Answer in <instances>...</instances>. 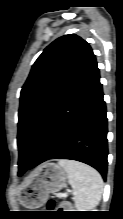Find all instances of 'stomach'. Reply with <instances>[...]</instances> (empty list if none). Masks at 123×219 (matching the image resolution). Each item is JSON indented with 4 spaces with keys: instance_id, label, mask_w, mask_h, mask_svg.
<instances>
[{
    "instance_id": "1",
    "label": "stomach",
    "mask_w": 123,
    "mask_h": 219,
    "mask_svg": "<svg viewBox=\"0 0 123 219\" xmlns=\"http://www.w3.org/2000/svg\"><path fill=\"white\" fill-rule=\"evenodd\" d=\"M66 179L67 173L59 164L46 162L40 165L21 190V204L27 208L42 206L50 193H56L63 188Z\"/></svg>"
}]
</instances>
